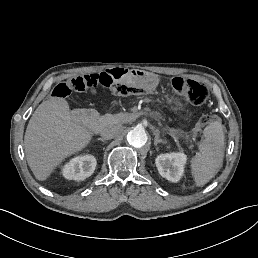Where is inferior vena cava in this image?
<instances>
[{
  "label": "inferior vena cava",
  "instance_id": "inferior-vena-cava-1",
  "mask_svg": "<svg viewBox=\"0 0 258 258\" xmlns=\"http://www.w3.org/2000/svg\"><path fill=\"white\" fill-rule=\"evenodd\" d=\"M119 129L116 125L110 124L101 130L100 135L104 139H112L118 134Z\"/></svg>",
  "mask_w": 258,
  "mask_h": 258
}]
</instances>
